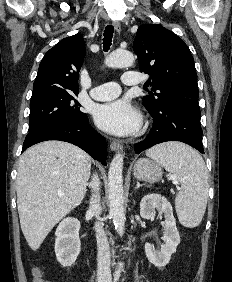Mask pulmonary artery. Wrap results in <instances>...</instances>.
I'll use <instances>...</instances> for the list:
<instances>
[{
	"label": "pulmonary artery",
	"instance_id": "pulmonary-artery-1",
	"mask_svg": "<svg viewBox=\"0 0 232 282\" xmlns=\"http://www.w3.org/2000/svg\"><path fill=\"white\" fill-rule=\"evenodd\" d=\"M122 82L127 86H135L141 83V77L137 72L127 71L122 75ZM121 88L116 82H107L94 87L90 91L93 99L98 101H109L117 98Z\"/></svg>",
	"mask_w": 232,
	"mask_h": 282
}]
</instances>
